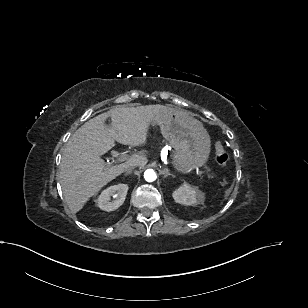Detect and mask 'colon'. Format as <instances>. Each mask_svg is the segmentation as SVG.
<instances>
[{
	"label": "colon",
	"mask_w": 308,
	"mask_h": 308,
	"mask_svg": "<svg viewBox=\"0 0 308 308\" xmlns=\"http://www.w3.org/2000/svg\"><path fill=\"white\" fill-rule=\"evenodd\" d=\"M215 159L220 166H225L228 161V154L219 141L215 144Z\"/></svg>",
	"instance_id": "obj_1"
}]
</instances>
